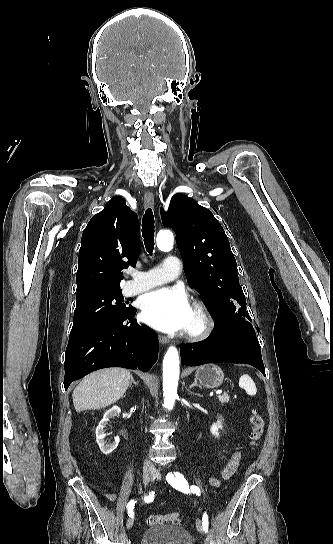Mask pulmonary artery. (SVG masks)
Here are the masks:
<instances>
[{"label": "pulmonary artery", "instance_id": "pulmonary-artery-1", "mask_svg": "<svg viewBox=\"0 0 333 544\" xmlns=\"http://www.w3.org/2000/svg\"><path fill=\"white\" fill-rule=\"evenodd\" d=\"M181 261L175 256H168L161 265L146 271L135 272L133 279L126 286L128 295H135L169 282L179 276Z\"/></svg>", "mask_w": 333, "mask_h": 544}]
</instances>
